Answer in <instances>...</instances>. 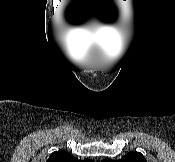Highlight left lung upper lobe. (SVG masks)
<instances>
[{
    "mask_svg": "<svg viewBox=\"0 0 175 162\" xmlns=\"http://www.w3.org/2000/svg\"><path fill=\"white\" fill-rule=\"evenodd\" d=\"M102 162H147L144 156L136 151L129 152L119 160L105 159Z\"/></svg>",
    "mask_w": 175,
    "mask_h": 162,
    "instance_id": "obj_1",
    "label": "left lung upper lobe"
}]
</instances>
